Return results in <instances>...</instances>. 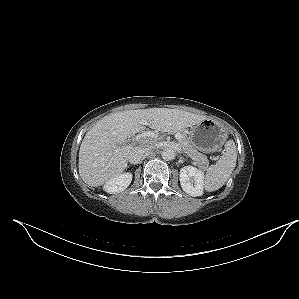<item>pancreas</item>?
Masks as SVG:
<instances>
[{
	"mask_svg": "<svg viewBox=\"0 0 299 299\" xmlns=\"http://www.w3.org/2000/svg\"><path fill=\"white\" fill-rule=\"evenodd\" d=\"M173 133H179L182 138L179 140L180 145L183 148V151L189 156L192 160L196 162V164L201 169H206L209 161L205 155L198 152L197 149L190 143L187 134L184 131H172Z\"/></svg>",
	"mask_w": 299,
	"mask_h": 299,
	"instance_id": "1",
	"label": "pancreas"
}]
</instances>
